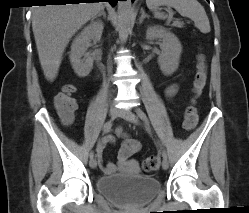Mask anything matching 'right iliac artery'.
I'll return each mask as SVG.
<instances>
[{
  "instance_id": "82829eb1",
  "label": "right iliac artery",
  "mask_w": 249,
  "mask_h": 213,
  "mask_svg": "<svg viewBox=\"0 0 249 213\" xmlns=\"http://www.w3.org/2000/svg\"><path fill=\"white\" fill-rule=\"evenodd\" d=\"M112 125H113V120H110V121L106 122V123L104 124V127H103V132H104V133L110 132V130H111V128H112ZM93 157H94V152L92 151V152L90 153V158H93Z\"/></svg>"
}]
</instances>
